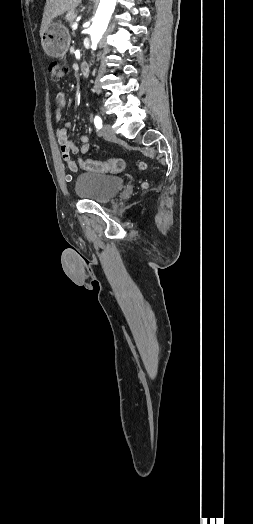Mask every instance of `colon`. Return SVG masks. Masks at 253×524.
<instances>
[{"label":"colon","instance_id":"colon-1","mask_svg":"<svg viewBox=\"0 0 253 524\" xmlns=\"http://www.w3.org/2000/svg\"><path fill=\"white\" fill-rule=\"evenodd\" d=\"M49 72L54 81H59L66 74L67 68L59 62H51L49 64ZM81 167L86 171L97 173H120L125 168V161L119 157L112 158L108 161L86 159L81 161Z\"/></svg>","mask_w":253,"mask_h":524}]
</instances>
